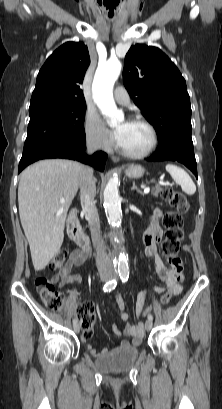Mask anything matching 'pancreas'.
I'll use <instances>...</instances> for the list:
<instances>
[{
	"label": "pancreas",
	"instance_id": "obj_1",
	"mask_svg": "<svg viewBox=\"0 0 222 409\" xmlns=\"http://www.w3.org/2000/svg\"><path fill=\"white\" fill-rule=\"evenodd\" d=\"M151 182H154V181L152 180ZM161 191H163L162 188H161L160 186L156 185V186L154 187L152 193H153V195H154L155 197H157L158 194H159Z\"/></svg>",
	"mask_w": 222,
	"mask_h": 409
}]
</instances>
